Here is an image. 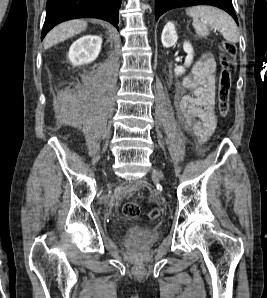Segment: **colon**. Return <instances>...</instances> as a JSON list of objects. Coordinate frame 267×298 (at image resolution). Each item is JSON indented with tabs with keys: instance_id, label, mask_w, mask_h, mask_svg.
<instances>
[{
	"instance_id": "1",
	"label": "colon",
	"mask_w": 267,
	"mask_h": 298,
	"mask_svg": "<svg viewBox=\"0 0 267 298\" xmlns=\"http://www.w3.org/2000/svg\"><path fill=\"white\" fill-rule=\"evenodd\" d=\"M237 48L230 42H222L219 45L221 71L218 82V107L220 114L225 117L229 112L230 93L232 86V68L235 64ZM122 213L126 218L135 219L140 214V207L135 202H127L122 207ZM160 215L158 209L149 213L150 219H156Z\"/></svg>"
}]
</instances>
